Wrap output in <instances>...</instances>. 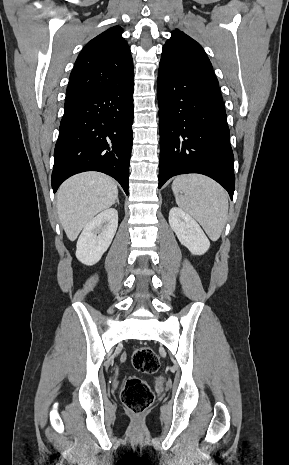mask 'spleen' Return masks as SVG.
<instances>
[{
    "mask_svg": "<svg viewBox=\"0 0 289 465\" xmlns=\"http://www.w3.org/2000/svg\"><path fill=\"white\" fill-rule=\"evenodd\" d=\"M172 190L177 205L200 223L212 241H217L228 216L226 191L214 180L201 174L176 177Z\"/></svg>",
    "mask_w": 289,
    "mask_h": 465,
    "instance_id": "1",
    "label": "spleen"
}]
</instances>
